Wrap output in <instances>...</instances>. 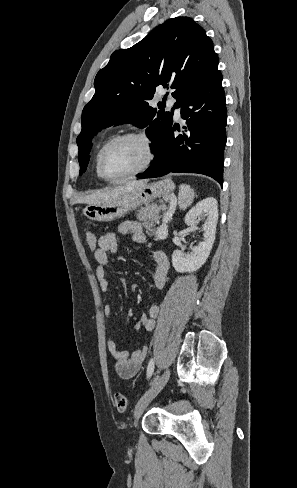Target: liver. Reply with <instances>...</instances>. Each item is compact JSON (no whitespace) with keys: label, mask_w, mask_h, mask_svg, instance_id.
Wrapping results in <instances>:
<instances>
[{"label":"liver","mask_w":297,"mask_h":488,"mask_svg":"<svg viewBox=\"0 0 297 488\" xmlns=\"http://www.w3.org/2000/svg\"><path fill=\"white\" fill-rule=\"evenodd\" d=\"M147 182H148L147 180H139V181L131 180L126 182L123 186H119L111 190H105L102 192H97L85 196L84 198L81 199V201L88 204H100V203L111 202L117 199L121 194L138 189L144 186L145 184H147Z\"/></svg>","instance_id":"1"}]
</instances>
